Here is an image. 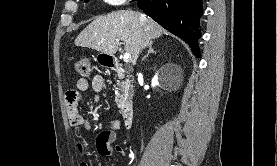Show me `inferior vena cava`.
<instances>
[{
	"label": "inferior vena cava",
	"mask_w": 277,
	"mask_h": 166,
	"mask_svg": "<svg viewBox=\"0 0 277 166\" xmlns=\"http://www.w3.org/2000/svg\"><path fill=\"white\" fill-rule=\"evenodd\" d=\"M140 18H141V19H144V15H141Z\"/></svg>",
	"instance_id": "1"
}]
</instances>
